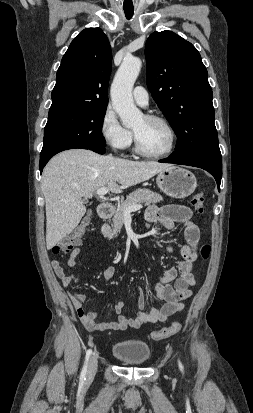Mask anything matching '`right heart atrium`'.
<instances>
[{
    "label": "right heart atrium",
    "instance_id": "right-heart-atrium-1",
    "mask_svg": "<svg viewBox=\"0 0 253 413\" xmlns=\"http://www.w3.org/2000/svg\"><path fill=\"white\" fill-rule=\"evenodd\" d=\"M100 133L104 141L113 149L126 150L133 140L131 131L119 122L111 108H107L100 121Z\"/></svg>",
    "mask_w": 253,
    "mask_h": 413
}]
</instances>
